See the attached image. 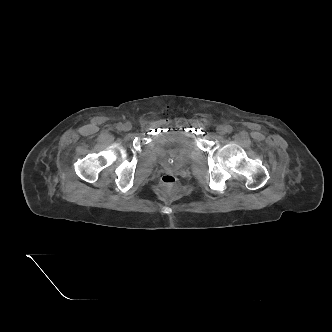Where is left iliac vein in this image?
Segmentation results:
<instances>
[{
  "label": "left iliac vein",
  "mask_w": 332,
  "mask_h": 332,
  "mask_svg": "<svg viewBox=\"0 0 332 332\" xmlns=\"http://www.w3.org/2000/svg\"><path fill=\"white\" fill-rule=\"evenodd\" d=\"M216 129L220 135H224L226 133V127L223 125H218Z\"/></svg>",
  "instance_id": "left-iliac-vein-1"
}]
</instances>
